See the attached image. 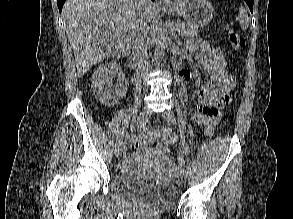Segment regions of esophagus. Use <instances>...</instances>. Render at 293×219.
<instances>
[{
	"label": "esophagus",
	"mask_w": 293,
	"mask_h": 219,
	"mask_svg": "<svg viewBox=\"0 0 293 219\" xmlns=\"http://www.w3.org/2000/svg\"><path fill=\"white\" fill-rule=\"evenodd\" d=\"M156 2L159 4H167L169 3V0H156Z\"/></svg>",
	"instance_id": "obj_1"
}]
</instances>
